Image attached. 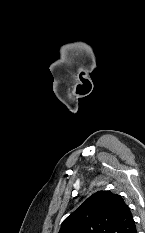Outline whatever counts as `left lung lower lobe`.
<instances>
[{"label": "left lung lower lobe", "instance_id": "left-lung-lower-lobe-1", "mask_svg": "<svg viewBox=\"0 0 145 233\" xmlns=\"http://www.w3.org/2000/svg\"><path fill=\"white\" fill-rule=\"evenodd\" d=\"M132 233H136V228L132 231Z\"/></svg>", "mask_w": 145, "mask_h": 233}]
</instances>
